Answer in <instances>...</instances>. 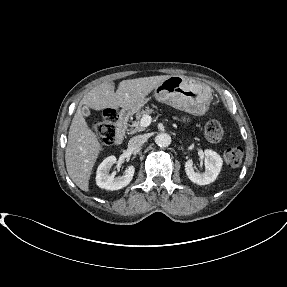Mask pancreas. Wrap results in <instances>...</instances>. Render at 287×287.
Here are the masks:
<instances>
[{
  "mask_svg": "<svg viewBox=\"0 0 287 287\" xmlns=\"http://www.w3.org/2000/svg\"><path fill=\"white\" fill-rule=\"evenodd\" d=\"M156 106L153 105V108H155ZM154 112V110L148 106L145 107V109H141L139 111H137L136 113V120L135 121H132V124H131V133H135V132H139V131H142L144 130V127H141L140 125V121H141V118L146 115V114H152Z\"/></svg>",
  "mask_w": 287,
  "mask_h": 287,
  "instance_id": "obj_1",
  "label": "pancreas"
}]
</instances>
